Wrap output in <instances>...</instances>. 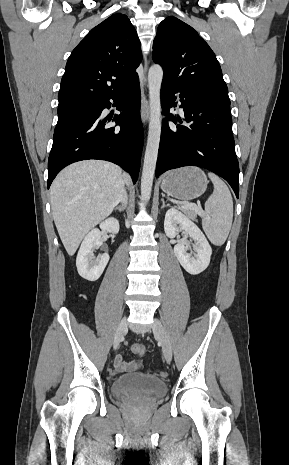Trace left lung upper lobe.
Wrapping results in <instances>:
<instances>
[{
  "instance_id": "5c2ea615",
  "label": "left lung upper lobe",
  "mask_w": 289,
  "mask_h": 465,
  "mask_svg": "<svg viewBox=\"0 0 289 465\" xmlns=\"http://www.w3.org/2000/svg\"><path fill=\"white\" fill-rule=\"evenodd\" d=\"M152 57L164 68L163 84L230 105L228 88L214 52L183 21L169 16L160 23Z\"/></svg>"
}]
</instances>
